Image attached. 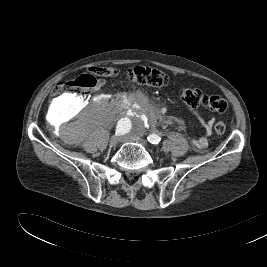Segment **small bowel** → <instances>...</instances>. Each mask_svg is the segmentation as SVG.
<instances>
[{"label":"small bowel","mask_w":267,"mask_h":267,"mask_svg":"<svg viewBox=\"0 0 267 267\" xmlns=\"http://www.w3.org/2000/svg\"><path fill=\"white\" fill-rule=\"evenodd\" d=\"M102 83H100L101 85ZM194 113L202 120L203 122V127H204V131H205V136L200 137L198 139H196L194 141V144L197 148L199 149H203L208 145V136L211 134L212 132V120L211 119H203L199 113L197 111H194Z\"/></svg>","instance_id":"small-bowel-1"}]
</instances>
